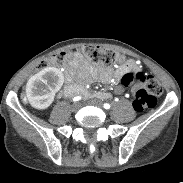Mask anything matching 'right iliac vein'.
<instances>
[{
	"label": "right iliac vein",
	"instance_id": "1",
	"mask_svg": "<svg viewBox=\"0 0 183 183\" xmlns=\"http://www.w3.org/2000/svg\"><path fill=\"white\" fill-rule=\"evenodd\" d=\"M81 105L80 103H74L72 106H71V109L72 111L76 112L80 109Z\"/></svg>",
	"mask_w": 183,
	"mask_h": 183
}]
</instances>
